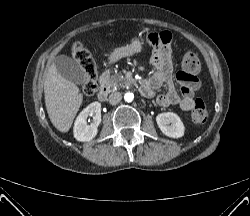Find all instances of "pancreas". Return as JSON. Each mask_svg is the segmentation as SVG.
I'll return each instance as SVG.
<instances>
[{"label":"pancreas","instance_id":"pancreas-1","mask_svg":"<svg viewBox=\"0 0 250 216\" xmlns=\"http://www.w3.org/2000/svg\"><path fill=\"white\" fill-rule=\"evenodd\" d=\"M103 84L106 89L111 90L118 87H127L131 84L130 81L124 78L120 73L103 78Z\"/></svg>","mask_w":250,"mask_h":216}]
</instances>
